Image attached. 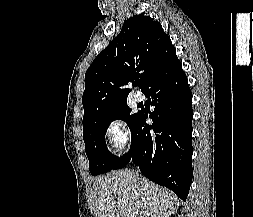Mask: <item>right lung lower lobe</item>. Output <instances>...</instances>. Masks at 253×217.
Instances as JSON below:
<instances>
[{
  "label": "right lung lower lobe",
  "instance_id": "1",
  "mask_svg": "<svg viewBox=\"0 0 253 217\" xmlns=\"http://www.w3.org/2000/svg\"><path fill=\"white\" fill-rule=\"evenodd\" d=\"M151 97L154 112L140 111L131 127L130 151L120 158L114 169L131 160L153 182L175 192L184 201L192 182V93L178 61L170 70L154 79L144 92Z\"/></svg>",
  "mask_w": 253,
  "mask_h": 217
}]
</instances>
